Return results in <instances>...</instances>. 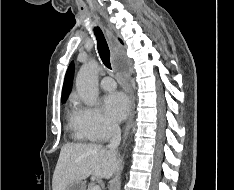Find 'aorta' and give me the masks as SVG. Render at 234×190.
Here are the masks:
<instances>
[{"label":"aorta","mask_w":234,"mask_h":190,"mask_svg":"<svg viewBox=\"0 0 234 190\" xmlns=\"http://www.w3.org/2000/svg\"><path fill=\"white\" fill-rule=\"evenodd\" d=\"M76 89L87 105H94L98 98V63L90 60L84 64L76 77Z\"/></svg>","instance_id":"1"}]
</instances>
